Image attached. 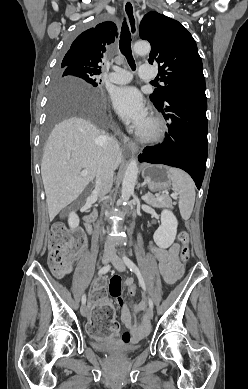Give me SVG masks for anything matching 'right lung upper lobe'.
<instances>
[{
    "instance_id": "1",
    "label": "right lung upper lobe",
    "mask_w": 248,
    "mask_h": 389,
    "mask_svg": "<svg viewBox=\"0 0 248 389\" xmlns=\"http://www.w3.org/2000/svg\"><path fill=\"white\" fill-rule=\"evenodd\" d=\"M113 22H103L81 33L72 43L62 64L87 68L101 73L106 46L117 37Z\"/></svg>"
}]
</instances>
